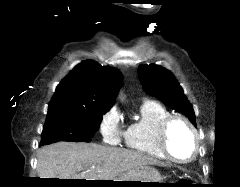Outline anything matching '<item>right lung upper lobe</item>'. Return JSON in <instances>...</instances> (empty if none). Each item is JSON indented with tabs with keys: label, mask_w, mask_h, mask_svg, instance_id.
I'll list each match as a JSON object with an SVG mask.
<instances>
[{
	"label": "right lung upper lobe",
	"mask_w": 240,
	"mask_h": 187,
	"mask_svg": "<svg viewBox=\"0 0 240 187\" xmlns=\"http://www.w3.org/2000/svg\"><path fill=\"white\" fill-rule=\"evenodd\" d=\"M121 79L118 69L86 60L78 64L56 87L48 108L77 106L108 110L113 104Z\"/></svg>",
	"instance_id": "1"
}]
</instances>
